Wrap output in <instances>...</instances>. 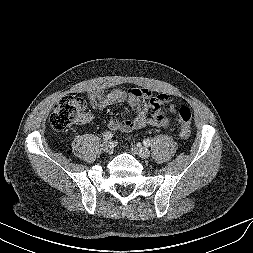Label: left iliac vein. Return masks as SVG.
<instances>
[{
    "label": "left iliac vein",
    "instance_id": "1",
    "mask_svg": "<svg viewBox=\"0 0 253 253\" xmlns=\"http://www.w3.org/2000/svg\"><path fill=\"white\" fill-rule=\"evenodd\" d=\"M133 150L139 157L143 159H147L150 155L148 149L141 145H136Z\"/></svg>",
    "mask_w": 253,
    "mask_h": 253
}]
</instances>
